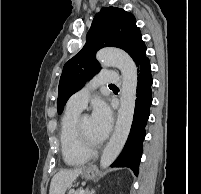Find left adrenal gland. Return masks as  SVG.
<instances>
[{"mask_svg":"<svg viewBox=\"0 0 201 194\" xmlns=\"http://www.w3.org/2000/svg\"><path fill=\"white\" fill-rule=\"evenodd\" d=\"M94 193H95V190L89 191V190L87 189L85 194H94Z\"/></svg>","mask_w":201,"mask_h":194,"instance_id":"obj_1","label":"left adrenal gland"}]
</instances>
